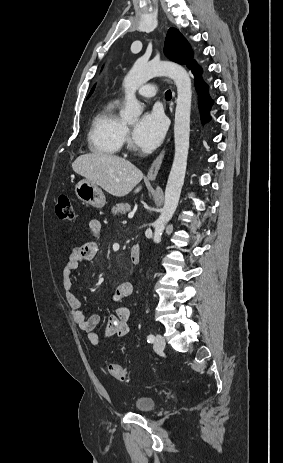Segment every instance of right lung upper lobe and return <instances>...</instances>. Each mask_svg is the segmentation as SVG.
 <instances>
[{
  "mask_svg": "<svg viewBox=\"0 0 283 463\" xmlns=\"http://www.w3.org/2000/svg\"><path fill=\"white\" fill-rule=\"evenodd\" d=\"M93 90H94V87H93V89L91 90V92H90L89 96L92 94Z\"/></svg>",
  "mask_w": 283,
  "mask_h": 463,
  "instance_id": "obj_1",
  "label": "right lung upper lobe"
}]
</instances>
